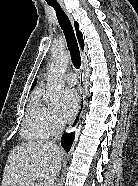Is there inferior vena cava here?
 Wrapping results in <instances>:
<instances>
[{"instance_id":"602c4592","label":"inferior vena cava","mask_w":138,"mask_h":186,"mask_svg":"<svg viewBox=\"0 0 138 186\" xmlns=\"http://www.w3.org/2000/svg\"><path fill=\"white\" fill-rule=\"evenodd\" d=\"M57 134L55 136V138L51 141L48 142V144L50 146H57L56 145V141L60 139V135L61 133L63 132L64 130V123H60L58 126H57ZM60 171V162H56V164L52 167L51 169V172L50 174L47 176V179H46V185L45 186H56L55 185V180H56V177L58 175Z\"/></svg>"}]
</instances>
